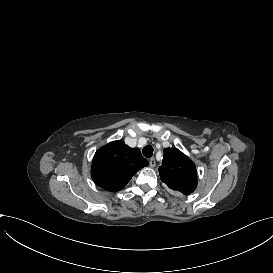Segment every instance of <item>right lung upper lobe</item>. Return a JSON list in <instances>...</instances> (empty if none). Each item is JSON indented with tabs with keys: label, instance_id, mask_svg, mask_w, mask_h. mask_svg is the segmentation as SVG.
<instances>
[{
	"label": "right lung upper lobe",
	"instance_id": "cb5924a9",
	"mask_svg": "<svg viewBox=\"0 0 273 273\" xmlns=\"http://www.w3.org/2000/svg\"><path fill=\"white\" fill-rule=\"evenodd\" d=\"M148 165L137 148L113 141L100 148L93 158L92 179L100 187L116 192L122 189L141 168Z\"/></svg>",
	"mask_w": 273,
	"mask_h": 273
}]
</instances>
